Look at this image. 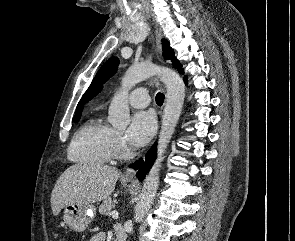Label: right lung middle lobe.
<instances>
[{
  "instance_id": "right-lung-middle-lobe-1",
  "label": "right lung middle lobe",
  "mask_w": 295,
  "mask_h": 241,
  "mask_svg": "<svg viewBox=\"0 0 295 241\" xmlns=\"http://www.w3.org/2000/svg\"><path fill=\"white\" fill-rule=\"evenodd\" d=\"M79 118H80V117H76V118L74 119V122H77V121L79 120Z\"/></svg>"
}]
</instances>
